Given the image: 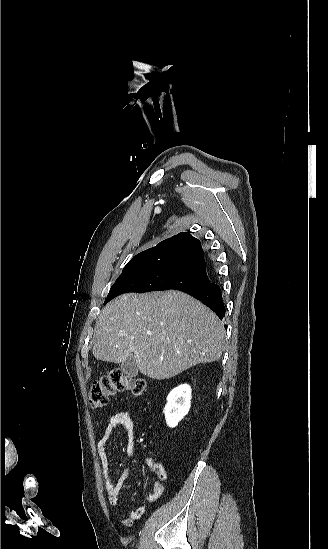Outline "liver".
I'll list each match as a JSON object with an SVG mask.
<instances>
[{
    "label": "liver",
    "mask_w": 328,
    "mask_h": 549,
    "mask_svg": "<svg viewBox=\"0 0 328 549\" xmlns=\"http://www.w3.org/2000/svg\"><path fill=\"white\" fill-rule=\"evenodd\" d=\"M225 333L215 313L186 293H127L100 311L92 353L109 363L134 353L140 373L161 381L218 361Z\"/></svg>",
    "instance_id": "liver-1"
}]
</instances>
